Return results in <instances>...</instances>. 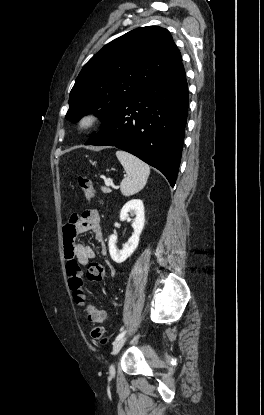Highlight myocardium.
<instances>
[{"instance_id":"myocardium-1","label":"myocardium","mask_w":264,"mask_h":415,"mask_svg":"<svg viewBox=\"0 0 264 415\" xmlns=\"http://www.w3.org/2000/svg\"><path fill=\"white\" fill-rule=\"evenodd\" d=\"M102 120L100 114L96 112H86L82 114L76 123V128L81 132H87L95 128Z\"/></svg>"}]
</instances>
